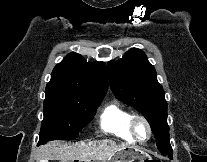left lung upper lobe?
I'll return each mask as SVG.
<instances>
[{
  "mask_svg": "<svg viewBox=\"0 0 207 162\" xmlns=\"http://www.w3.org/2000/svg\"><path fill=\"white\" fill-rule=\"evenodd\" d=\"M107 67L115 96L147 119L160 152L163 155L172 153L164 91L144 52L132 48L119 61H110Z\"/></svg>",
  "mask_w": 207,
  "mask_h": 162,
  "instance_id": "left-lung-upper-lobe-1",
  "label": "left lung upper lobe"
}]
</instances>
